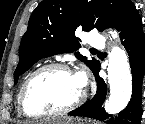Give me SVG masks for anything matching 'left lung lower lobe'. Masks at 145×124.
Wrapping results in <instances>:
<instances>
[{
	"mask_svg": "<svg viewBox=\"0 0 145 124\" xmlns=\"http://www.w3.org/2000/svg\"><path fill=\"white\" fill-rule=\"evenodd\" d=\"M142 26V19L133 5L117 27L122 45L128 51L132 73V97L126 108L116 116H111L104 111L102 104L105 101L107 86L99 76V63L94 74L97 81L96 95L86 104L69 112L70 116L90 117L107 124H140L142 82L145 74V35Z\"/></svg>",
	"mask_w": 145,
	"mask_h": 124,
	"instance_id": "0a47b994",
	"label": "left lung lower lobe"
}]
</instances>
